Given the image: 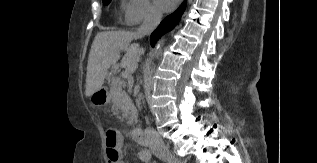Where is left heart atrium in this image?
Instances as JSON below:
<instances>
[{
  "mask_svg": "<svg viewBox=\"0 0 317 163\" xmlns=\"http://www.w3.org/2000/svg\"><path fill=\"white\" fill-rule=\"evenodd\" d=\"M179 0H156L157 5L164 11L172 10Z\"/></svg>",
  "mask_w": 317,
  "mask_h": 163,
  "instance_id": "1",
  "label": "left heart atrium"
}]
</instances>
